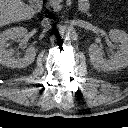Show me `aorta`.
<instances>
[{
    "label": "aorta",
    "mask_w": 128,
    "mask_h": 128,
    "mask_svg": "<svg viewBox=\"0 0 128 128\" xmlns=\"http://www.w3.org/2000/svg\"><path fill=\"white\" fill-rule=\"evenodd\" d=\"M59 33L62 38L70 39L75 34V29L68 25H63L59 28Z\"/></svg>",
    "instance_id": "obj_1"
}]
</instances>
